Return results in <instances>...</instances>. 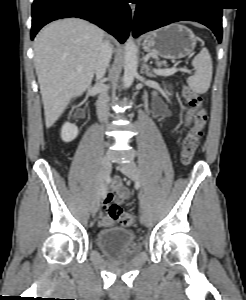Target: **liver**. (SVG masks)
Instances as JSON below:
<instances>
[{
	"label": "liver",
	"instance_id": "1",
	"mask_svg": "<svg viewBox=\"0 0 246 300\" xmlns=\"http://www.w3.org/2000/svg\"><path fill=\"white\" fill-rule=\"evenodd\" d=\"M103 37L99 27L77 18L50 23L35 37L34 65L47 128L90 86Z\"/></svg>",
	"mask_w": 246,
	"mask_h": 300
}]
</instances>
